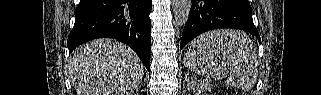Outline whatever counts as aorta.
<instances>
[{
  "instance_id": "762f6f07",
  "label": "aorta",
  "mask_w": 321,
  "mask_h": 95,
  "mask_svg": "<svg viewBox=\"0 0 321 95\" xmlns=\"http://www.w3.org/2000/svg\"><path fill=\"white\" fill-rule=\"evenodd\" d=\"M191 5V0H172V9L176 26L180 28L185 26L189 17Z\"/></svg>"
}]
</instances>
